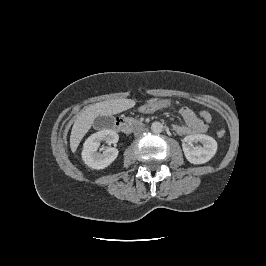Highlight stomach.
<instances>
[{
    "mask_svg": "<svg viewBox=\"0 0 266 266\" xmlns=\"http://www.w3.org/2000/svg\"><path fill=\"white\" fill-rule=\"evenodd\" d=\"M162 103H155V102H150L149 104H146L145 106L142 107V111L146 113H152L162 107Z\"/></svg>",
    "mask_w": 266,
    "mask_h": 266,
    "instance_id": "obj_1",
    "label": "stomach"
}]
</instances>
